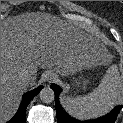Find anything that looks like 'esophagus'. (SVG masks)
<instances>
[{"label": "esophagus", "instance_id": "esophagus-1", "mask_svg": "<svg viewBox=\"0 0 123 123\" xmlns=\"http://www.w3.org/2000/svg\"><path fill=\"white\" fill-rule=\"evenodd\" d=\"M55 79H56V77H55V75L52 74V73H47V74L45 75V81L48 82V83L54 82Z\"/></svg>", "mask_w": 123, "mask_h": 123}]
</instances>
